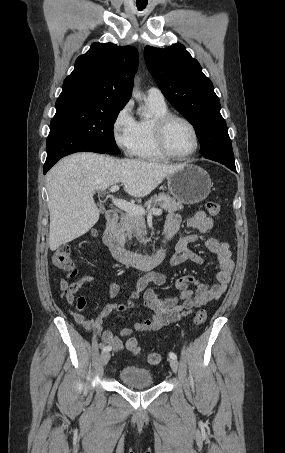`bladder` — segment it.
Here are the masks:
<instances>
[{"instance_id":"obj_1","label":"bladder","mask_w":285,"mask_h":453,"mask_svg":"<svg viewBox=\"0 0 285 453\" xmlns=\"http://www.w3.org/2000/svg\"><path fill=\"white\" fill-rule=\"evenodd\" d=\"M119 380L130 387H150L154 384L150 370L136 365H126L119 370Z\"/></svg>"}]
</instances>
